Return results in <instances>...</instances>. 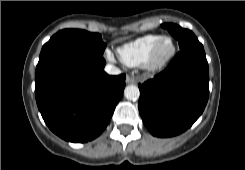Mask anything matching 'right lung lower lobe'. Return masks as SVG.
I'll return each instance as SVG.
<instances>
[{
    "mask_svg": "<svg viewBox=\"0 0 245 170\" xmlns=\"http://www.w3.org/2000/svg\"><path fill=\"white\" fill-rule=\"evenodd\" d=\"M104 66L102 56L65 53L36 71L38 109L60 138L84 143L106 128L122 98L126 76H110Z\"/></svg>",
    "mask_w": 245,
    "mask_h": 170,
    "instance_id": "right-lung-lower-lobe-1",
    "label": "right lung lower lobe"
}]
</instances>
